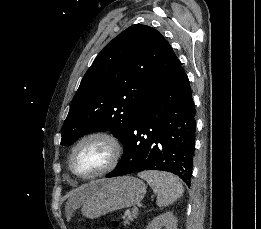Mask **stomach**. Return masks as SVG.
Returning a JSON list of instances; mask_svg holds the SVG:
<instances>
[{"label": "stomach", "mask_w": 261, "mask_h": 229, "mask_svg": "<svg viewBox=\"0 0 261 229\" xmlns=\"http://www.w3.org/2000/svg\"><path fill=\"white\" fill-rule=\"evenodd\" d=\"M85 187L89 191V197L82 205V215L87 219H98L112 211L137 205L146 195L143 181L136 177L97 179L90 181Z\"/></svg>", "instance_id": "obj_1"}]
</instances>
